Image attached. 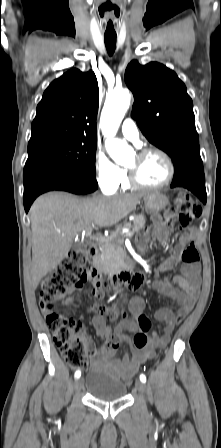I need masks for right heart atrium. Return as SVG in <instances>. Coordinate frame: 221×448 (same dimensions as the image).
<instances>
[{
  "label": "right heart atrium",
  "mask_w": 221,
  "mask_h": 448,
  "mask_svg": "<svg viewBox=\"0 0 221 448\" xmlns=\"http://www.w3.org/2000/svg\"><path fill=\"white\" fill-rule=\"evenodd\" d=\"M94 172L99 187L106 193L115 192L124 176V170L101 151L95 155Z\"/></svg>",
  "instance_id": "1"
}]
</instances>
